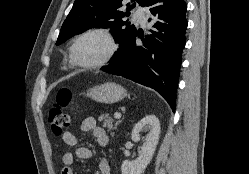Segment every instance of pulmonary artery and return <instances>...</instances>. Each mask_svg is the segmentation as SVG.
<instances>
[{"label": "pulmonary artery", "mask_w": 249, "mask_h": 174, "mask_svg": "<svg viewBox=\"0 0 249 174\" xmlns=\"http://www.w3.org/2000/svg\"><path fill=\"white\" fill-rule=\"evenodd\" d=\"M134 18L138 19L140 21V23L142 25H145L147 22V16H148V12L146 9L143 8H138L135 12H134Z\"/></svg>", "instance_id": "pulmonary-artery-1"}]
</instances>
